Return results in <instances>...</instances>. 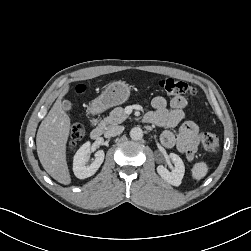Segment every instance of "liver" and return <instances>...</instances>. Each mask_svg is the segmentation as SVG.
<instances>
[{"label": "liver", "instance_id": "6515ba94", "mask_svg": "<svg viewBox=\"0 0 251 251\" xmlns=\"http://www.w3.org/2000/svg\"><path fill=\"white\" fill-rule=\"evenodd\" d=\"M69 91L64 88L47 116L41 122L37 136V154L47 173L61 184L71 182L66 161V144L70 133V118L62 107V98Z\"/></svg>", "mask_w": 251, "mask_h": 251}]
</instances>
